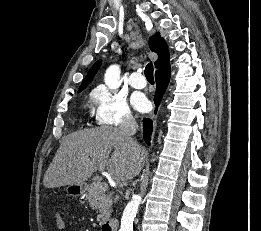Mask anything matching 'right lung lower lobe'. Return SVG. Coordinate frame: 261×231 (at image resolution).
<instances>
[{
  "label": "right lung lower lobe",
  "instance_id": "obj_1",
  "mask_svg": "<svg viewBox=\"0 0 261 231\" xmlns=\"http://www.w3.org/2000/svg\"><path fill=\"white\" fill-rule=\"evenodd\" d=\"M155 79H156V93L154 97V102L156 107H158L170 80V65L157 71L155 74ZM155 111H157V109ZM152 129H153V121L151 119L144 118L143 137L148 145H150V140H151L150 135L152 133Z\"/></svg>",
  "mask_w": 261,
  "mask_h": 231
}]
</instances>
